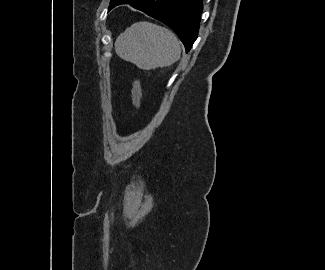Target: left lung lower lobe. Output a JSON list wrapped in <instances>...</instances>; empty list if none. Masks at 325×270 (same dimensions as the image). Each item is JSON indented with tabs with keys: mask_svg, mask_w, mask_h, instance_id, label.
<instances>
[{
	"mask_svg": "<svg viewBox=\"0 0 325 270\" xmlns=\"http://www.w3.org/2000/svg\"><path fill=\"white\" fill-rule=\"evenodd\" d=\"M163 22L175 31L188 52L197 38L202 0H119ZM111 8V9H112Z\"/></svg>",
	"mask_w": 325,
	"mask_h": 270,
	"instance_id": "1",
	"label": "left lung lower lobe"
}]
</instances>
